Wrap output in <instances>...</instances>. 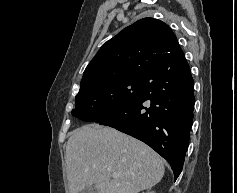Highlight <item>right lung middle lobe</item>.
<instances>
[{"mask_svg":"<svg viewBox=\"0 0 237 193\" xmlns=\"http://www.w3.org/2000/svg\"><path fill=\"white\" fill-rule=\"evenodd\" d=\"M144 77L128 76L103 80L80 88L72 115L96 121L123 108L140 92Z\"/></svg>","mask_w":237,"mask_h":193,"instance_id":"obj_1","label":"right lung middle lobe"}]
</instances>
